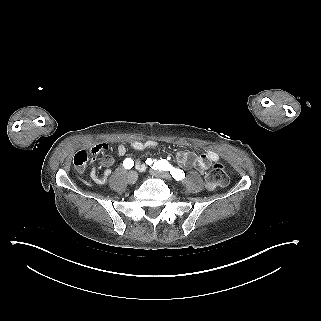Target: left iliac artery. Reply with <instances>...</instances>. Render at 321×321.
Wrapping results in <instances>:
<instances>
[{
	"label": "left iliac artery",
	"mask_w": 321,
	"mask_h": 321,
	"mask_svg": "<svg viewBox=\"0 0 321 321\" xmlns=\"http://www.w3.org/2000/svg\"><path fill=\"white\" fill-rule=\"evenodd\" d=\"M146 163L151 165L155 170L170 171L172 177L177 181H180L185 177V173L182 170L172 167L166 160H155L154 162L152 159L148 158Z\"/></svg>",
	"instance_id": "1"
}]
</instances>
